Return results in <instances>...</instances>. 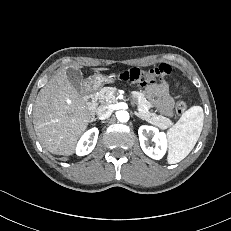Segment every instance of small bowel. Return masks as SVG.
Returning <instances> with one entry per match:
<instances>
[{
    "instance_id": "obj_1",
    "label": "small bowel",
    "mask_w": 231,
    "mask_h": 231,
    "mask_svg": "<svg viewBox=\"0 0 231 231\" xmlns=\"http://www.w3.org/2000/svg\"><path fill=\"white\" fill-rule=\"evenodd\" d=\"M145 94L162 114L167 116L172 114L174 100L170 94L169 84L166 81L148 85L145 89Z\"/></svg>"
}]
</instances>
